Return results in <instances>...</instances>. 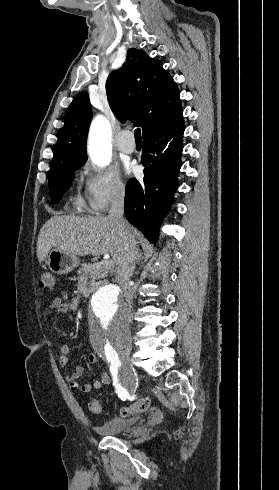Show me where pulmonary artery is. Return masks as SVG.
<instances>
[{
	"label": "pulmonary artery",
	"mask_w": 279,
	"mask_h": 490,
	"mask_svg": "<svg viewBox=\"0 0 279 490\" xmlns=\"http://www.w3.org/2000/svg\"><path fill=\"white\" fill-rule=\"evenodd\" d=\"M118 135L119 137L114 138V145L119 146V150L125 154L133 153L137 145V138L130 137V128H119Z\"/></svg>",
	"instance_id": "1"
}]
</instances>
